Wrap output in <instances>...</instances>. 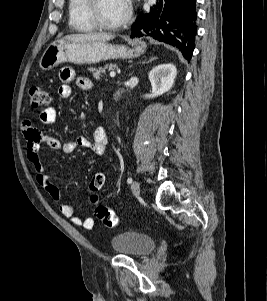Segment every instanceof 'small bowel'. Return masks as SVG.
Instances as JSON below:
<instances>
[{"label": "small bowel", "instance_id": "small-bowel-1", "mask_svg": "<svg viewBox=\"0 0 267 301\" xmlns=\"http://www.w3.org/2000/svg\"><path fill=\"white\" fill-rule=\"evenodd\" d=\"M59 77L62 83L58 88V94L62 99L71 97L72 88L69 83L73 80H75L76 86L81 90L87 91L92 88V82L89 78L84 76L76 77L75 72L70 68H63L60 71ZM39 119L40 122L45 125L54 123L56 120V110L52 107L45 108L41 112ZM22 132L26 140L27 158L36 173V181L54 200H59L60 192L42 164L39 155L41 144L45 143L51 149L60 150L66 154H70L78 148H89L96 155H103L106 152L108 145V135L105 128L102 126L94 129L91 139L81 135L68 142H61L57 138L44 135L29 121L23 123ZM59 210L64 217L70 219L76 226L91 229L94 225V220L92 218L88 217L81 219L75 214L76 207L73 203H61Z\"/></svg>", "mask_w": 267, "mask_h": 301}]
</instances>
